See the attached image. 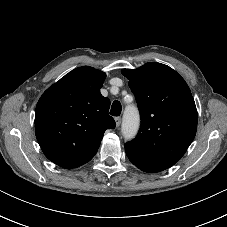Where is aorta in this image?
<instances>
[{
  "instance_id": "1",
  "label": "aorta",
  "mask_w": 227,
  "mask_h": 227,
  "mask_svg": "<svg viewBox=\"0 0 227 227\" xmlns=\"http://www.w3.org/2000/svg\"><path fill=\"white\" fill-rule=\"evenodd\" d=\"M139 128V114L135 107L126 108L123 116L122 133L126 139L133 138Z\"/></svg>"
}]
</instances>
